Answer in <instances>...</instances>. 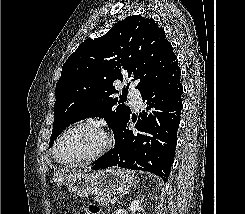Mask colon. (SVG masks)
I'll return each instance as SVG.
<instances>
[{"label":"colon","mask_w":245,"mask_h":214,"mask_svg":"<svg viewBox=\"0 0 245 214\" xmlns=\"http://www.w3.org/2000/svg\"><path fill=\"white\" fill-rule=\"evenodd\" d=\"M91 212L95 213L96 212V208L95 207H91Z\"/></svg>","instance_id":"1"}]
</instances>
